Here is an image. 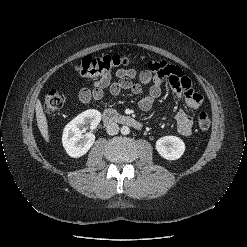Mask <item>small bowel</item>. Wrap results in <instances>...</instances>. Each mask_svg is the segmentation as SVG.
Segmentation results:
<instances>
[{
  "mask_svg": "<svg viewBox=\"0 0 247 247\" xmlns=\"http://www.w3.org/2000/svg\"><path fill=\"white\" fill-rule=\"evenodd\" d=\"M116 81H112L110 75L96 80L93 88L82 89L79 92V100L82 103H88L90 100H100L104 96L106 89L116 96L124 90L131 91L134 94H140L144 85L151 84L148 94L138 103L142 111H149L154 101L160 97L162 92V82L168 78L170 87L176 96L186 103L192 109L201 106L203 97L196 92L187 76L182 70L166 61L152 60L148 63V69L136 71L135 69H119L116 71ZM134 79H137L135 82ZM175 121L178 131L183 136H189L192 133L193 119L184 110L180 109L175 115Z\"/></svg>",
  "mask_w": 247,
  "mask_h": 247,
  "instance_id": "1",
  "label": "small bowel"
}]
</instances>
